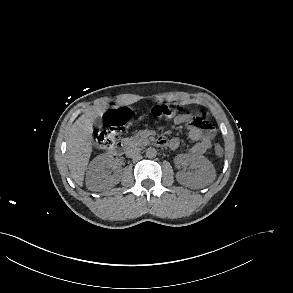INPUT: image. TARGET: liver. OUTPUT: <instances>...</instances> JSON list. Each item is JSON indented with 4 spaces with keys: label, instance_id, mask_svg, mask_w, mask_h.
<instances>
[{
    "label": "liver",
    "instance_id": "6515ba94",
    "mask_svg": "<svg viewBox=\"0 0 293 293\" xmlns=\"http://www.w3.org/2000/svg\"><path fill=\"white\" fill-rule=\"evenodd\" d=\"M96 112L81 115L72 125L67 144V163L73 180L83 185L84 174L92 152L93 121Z\"/></svg>",
    "mask_w": 293,
    "mask_h": 293
}]
</instances>
